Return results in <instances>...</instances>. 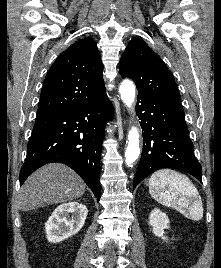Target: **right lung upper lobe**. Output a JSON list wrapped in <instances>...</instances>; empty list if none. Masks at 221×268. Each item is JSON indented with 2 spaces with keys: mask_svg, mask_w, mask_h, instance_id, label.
Returning <instances> with one entry per match:
<instances>
[{
  "mask_svg": "<svg viewBox=\"0 0 221 268\" xmlns=\"http://www.w3.org/2000/svg\"><path fill=\"white\" fill-rule=\"evenodd\" d=\"M97 44L86 37L59 55L49 69L40 95L38 114L54 113L94 102L106 89Z\"/></svg>",
  "mask_w": 221,
  "mask_h": 268,
  "instance_id": "right-lung-upper-lobe-1",
  "label": "right lung upper lobe"
}]
</instances>
